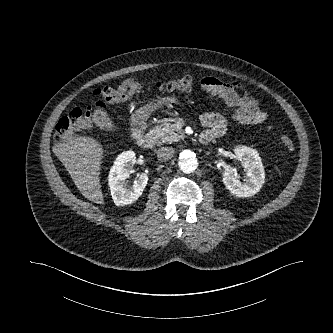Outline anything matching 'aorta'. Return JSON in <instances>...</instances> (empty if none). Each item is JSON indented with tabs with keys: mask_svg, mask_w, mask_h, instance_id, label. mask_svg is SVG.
I'll use <instances>...</instances> for the list:
<instances>
[{
	"mask_svg": "<svg viewBox=\"0 0 333 333\" xmlns=\"http://www.w3.org/2000/svg\"><path fill=\"white\" fill-rule=\"evenodd\" d=\"M178 166L184 173H192L198 167L196 155L191 150H183L179 154Z\"/></svg>",
	"mask_w": 333,
	"mask_h": 333,
	"instance_id": "762f6f07",
	"label": "aorta"
}]
</instances>
